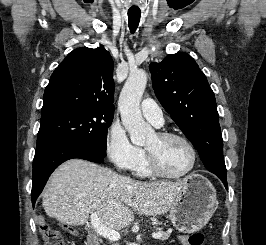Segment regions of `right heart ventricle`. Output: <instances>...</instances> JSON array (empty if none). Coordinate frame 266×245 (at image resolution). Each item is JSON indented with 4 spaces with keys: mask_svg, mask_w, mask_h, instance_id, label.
Wrapping results in <instances>:
<instances>
[{
    "mask_svg": "<svg viewBox=\"0 0 266 245\" xmlns=\"http://www.w3.org/2000/svg\"><path fill=\"white\" fill-rule=\"evenodd\" d=\"M135 172L136 175L141 178H149L152 176L147 167L146 160L144 159H142L139 165L136 167Z\"/></svg>",
    "mask_w": 266,
    "mask_h": 245,
    "instance_id": "obj_1",
    "label": "right heart ventricle"
}]
</instances>
